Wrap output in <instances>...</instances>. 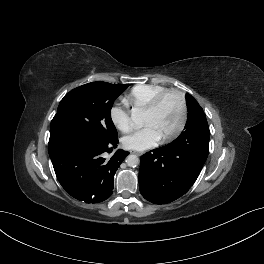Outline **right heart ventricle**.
Segmentation results:
<instances>
[{"mask_svg":"<svg viewBox=\"0 0 264 264\" xmlns=\"http://www.w3.org/2000/svg\"><path fill=\"white\" fill-rule=\"evenodd\" d=\"M165 90L167 88L162 85H137L126 95L125 102L134 109H145L155 96Z\"/></svg>","mask_w":264,"mask_h":264,"instance_id":"obj_1","label":"right heart ventricle"}]
</instances>
